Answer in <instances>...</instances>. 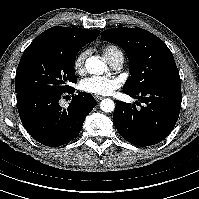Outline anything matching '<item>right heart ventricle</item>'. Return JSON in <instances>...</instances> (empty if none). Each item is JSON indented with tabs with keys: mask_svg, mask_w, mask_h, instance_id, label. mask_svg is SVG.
<instances>
[{
	"mask_svg": "<svg viewBox=\"0 0 199 199\" xmlns=\"http://www.w3.org/2000/svg\"><path fill=\"white\" fill-rule=\"evenodd\" d=\"M103 54L109 63H111L115 59L116 56H118V55L123 56L122 51L114 45L106 46L103 49Z\"/></svg>",
	"mask_w": 199,
	"mask_h": 199,
	"instance_id": "e07e8e85",
	"label": "right heart ventricle"
}]
</instances>
